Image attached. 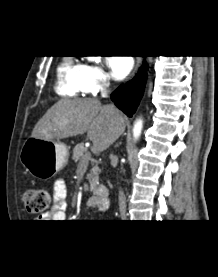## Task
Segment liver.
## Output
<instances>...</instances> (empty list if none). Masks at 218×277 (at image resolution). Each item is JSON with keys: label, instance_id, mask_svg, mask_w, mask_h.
I'll list each match as a JSON object with an SVG mask.
<instances>
[{"label": "liver", "instance_id": "liver-1", "mask_svg": "<svg viewBox=\"0 0 218 277\" xmlns=\"http://www.w3.org/2000/svg\"><path fill=\"white\" fill-rule=\"evenodd\" d=\"M125 130V117L114 106L96 99H62L35 125L31 137L59 140L87 132L94 151H104Z\"/></svg>", "mask_w": 218, "mask_h": 277}]
</instances>
